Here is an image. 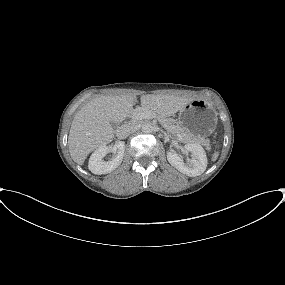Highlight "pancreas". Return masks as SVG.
I'll list each match as a JSON object with an SVG mask.
<instances>
[{"instance_id": "1", "label": "pancreas", "mask_w": 285, "mask_h": 285, "mask_svg": "<svg viewBox=\"0 0 285 285\" xmlns=\"http://www.w3.org/2000/svg\"><path fill=\"white\" fill-rule=\"evenodd\" d=\"M151 114H155L152 111H145ZM159 122L161 124H164L167 126L166 130L169 134L172 135H176L179 134L182 137V141H188V142H196V143H200L204 146H206L208 149H210V144H209V140L204 139V138H192L190 136H188V134L179 126V124L172 118H165L163 116H157Z\"/></svg>"}]
</instances>
